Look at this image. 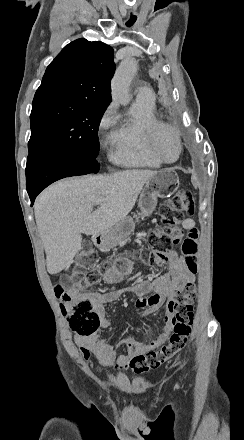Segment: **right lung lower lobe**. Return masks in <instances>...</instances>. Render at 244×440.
Segmentation results:
<instances>
[{
	"instance_id": "obj_1",
	"label": "right lung lower lobe",
	"mask_w": 244,
	"mask_h": 440,
	"mask_svg": "<svg viewBox=\"0 0 244 440\" xmlns=\"http://www.w3.org/2000/svg\"><path fill=\"white\" fill-rule=\"evenodd\" d=\"M96 159H81L64 151L38 149L29 152L26 187L33 205L37 195L51 183L70 176L97 173Z\"/></svg>"
}]
</instances>
